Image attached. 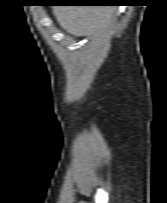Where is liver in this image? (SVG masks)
<instances>
[{
  "instance_id": "obj_1",
  "label": "liver",
  "mask_w": 167,
  "mask_h": 203,
  "mask_svg": "<svg viewBox=\"0 0 167 203\" xmlns=\"http://www.w3.org/2000/svg\"><path fill=\"white\" fill-rule=\"evenodd\" d=\"M59 25L75 36H90L107 28L115 14L109 6H59L53 9Z\"/></svg>"
}]
</instances>
